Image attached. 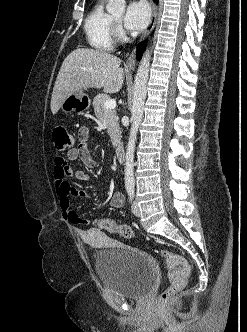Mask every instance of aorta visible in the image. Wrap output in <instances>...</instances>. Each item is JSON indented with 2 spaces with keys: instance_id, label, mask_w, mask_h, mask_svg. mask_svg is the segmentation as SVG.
<instances>
[{
  "instance_id": "aorta-1",
  "label": "aorta",
  "mask_w": 247,
  "mask_h": 332,
  "mask_svg": "<svg viewBox=\"0 0 247 332\" xmlns=\"http://www.w3.org/2000/svg\"><path fill=\"white\" fill-rule=\"evenodd\" d=\"M125 0H112L107 6V11L115 16H121L125 13ZM150 67V52L146 50L138 67L135 77L133 105L131 116V129L126 149L125 161V187L126 189H134V150L138 128L141 124L144 104L146 99V89Z\"/></svg>"
}]
</instances>
